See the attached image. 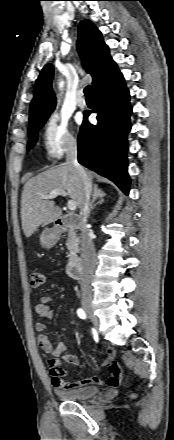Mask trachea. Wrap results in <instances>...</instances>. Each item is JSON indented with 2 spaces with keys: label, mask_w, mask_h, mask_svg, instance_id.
Returning <instances> with one entry per match:
<instances>
[{
  "label": "trachea",
  "mask_w": 174,
  "mask_h": 440,
  "mask_svg": "<svg viewBox=\"0 0 174 440\" xmlns=\"http://www.w3.org/2000/svg\"><path fill=\"white\" fill-rule=\"evenodd\" d=\"M84 94H85L86 98H93L94 97L91 85H88L85 87Z\"/></svg>",
  "instance_id": "1"
}]
</instances>
